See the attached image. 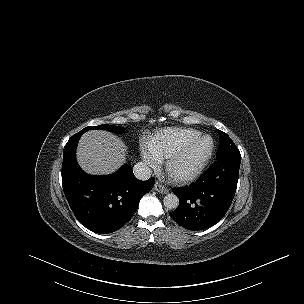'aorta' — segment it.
Instances as JSON below:
<instances>
[{"label": "aorta", "mask_w": 304, "mask_h": 304, "mask_svg": "<svg viewBox=\"0 0 304 304\" xmlns=\"http://www.w3.org/2000/svg\"><path fill=\"white\" fill-rule=\"evenodd\" d=\"M163 204L167 209L174 210L179 206V198L173 193H168L163 199Z\"/></svg>", "instance_id": "obj_1"}]
</instances>
